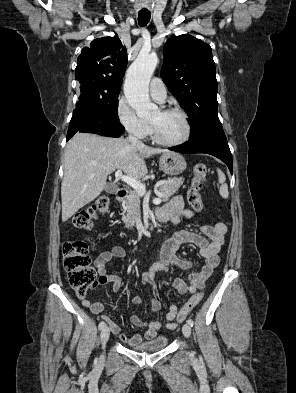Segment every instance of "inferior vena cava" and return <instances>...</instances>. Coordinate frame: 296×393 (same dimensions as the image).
Instances as JSON below:
<instances>
[{"label": "inferior vena cava", "instance_id": "602c4592", "mask_svg": "<svg viewBox=\"0 0 296 393\" xmlns=\"http://www.w3.org/2000/svg\"><path fill=\"white\" fill-rule=\"evenodd\" d=\"M128 141L133 145V146H142L144 145L141 141H139L136 137L133 135H129Z\"/></svg>", "mask_w": 296, "mask_h": 393}]
</instances>
